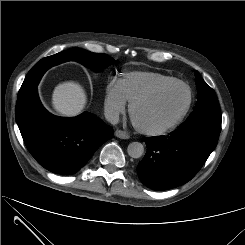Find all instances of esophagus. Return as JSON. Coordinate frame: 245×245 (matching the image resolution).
<instances>
[{
  "mask_svg": "<svg viewBox=\"0 0 245 245\" xmlns=\"http://www.w3.org/2000/svg\"><path fill=\"white\" fill-rule=\"evenodd\" d=\"M114 134L116 137L121 138V139H129L130 138V135L127 132L122 131V130H116Z\"/></svg>",
  "mask_w": 245,
  "mask_h": 245,
  "instance_id": "1",
  "label": "esophagus"
}]
</instances>
